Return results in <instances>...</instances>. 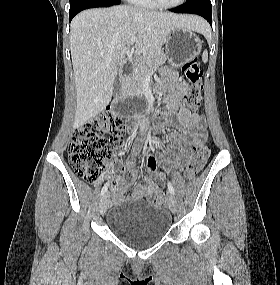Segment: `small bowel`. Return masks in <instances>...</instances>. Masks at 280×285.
I'll list each match as a JSON object with an SVG mask.
<instances>
[{"label": "small bowel", "mask_w": 280, "mask_h": 285, "mask_svg": "<svg viewBox=\"0 0 280 285\" xmlns=\"http://www.w3.org/2000/svg\"><path fill=\"white\" fill-rule=\"evenodd\" d=\"M188 89V84L179 80L176 87L169 93L168 110L178 111V119L183 127L181 134L175 135V141L178 144V149L181 156L185 154L188 147L191 145L194 139L207 137L206 128L203 117L197 112H191L187 108L181 105V100L184 97ZM139 118H136L138 120ZM146 130V123L141 121L140 127L133 128V135H143ZM142 141L135 144L136 150L139 151L142 148ZM180 158H177L176 165L180 166ZM113 165H120L118 160L113 161ZM145 166L150 173V177L144 178V184L137 182V170L134 160H127L124 167L125 177L116 178V188L114 190V199L116 201H122L125 196L124 193L129 187L133 188V192L130 194L131 199H142L152 193H157L165 186L166 173L158 171V159L153 155H147L145 158Z\"/></svg>", "instance_id": "c3829d8e"}]
</instances>
